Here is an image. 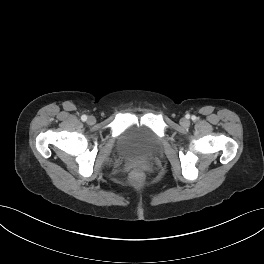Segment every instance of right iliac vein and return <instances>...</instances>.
<instances>
[{
	"label": "right iliac vein",
	"instance_id": "1",
	"mask_svg": "<svg viewBox=\"0 0 264 264\" xmlns=\"http://www.w3.org/2000/svg\"><path fill=\"white\" fill-rule=\"evenodd\" d=\"M95 121H96V119H95L94 116H89V117H88V123H89V124H94Z\"/></svg>",
	"mask_w": 264,
	"mask_h": 264
}]
</instances>
